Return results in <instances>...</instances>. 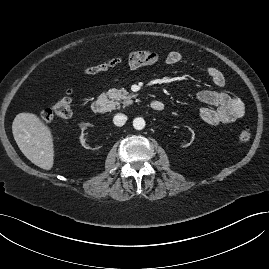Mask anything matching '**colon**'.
<instances>
[{"label": "colon", "instance_id": "1", "mask_svg": "<svg viewBox=\"0 0 269 269\" xmlns=\"http://www.w3.org/2000/svg\"><path fill=\"white\" fill-rule=\"evenodd\" d=\"M72 114V98L67 93L59 98L50 109L40 115V120L44 124H51L55 119L68 118ZM252 129L249 125H243L239 134L238 140L241 143H246L250 140Z\"/></svg>", "mask_w": 269, "mask_h": 269}]
</instances>
